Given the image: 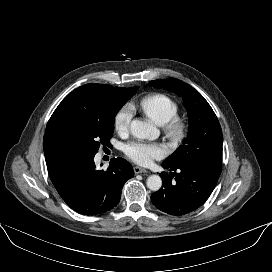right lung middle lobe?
<instances>
[{
  "mask_svg": "<svg viewBox=\"0 0 272 272\" xmlns=\"http://www.w3.org/2000/svg\"><path fill=\"white\" fill-rule=\"evenodd\" d=\"M133 88L132 95L138 87ZM128 99L129 97L115 102L105 122H64L57 125L50 136L49 151L45 155L46 163L69 157L95 155L100 145L110 146L115 115Z\"/></svg>",
  "mask_w": 272,
  "mask_h": 272,
  "instance_id": "dd1d6c3e",
  "label": "right lung middle lobe"
}]
</instances>
